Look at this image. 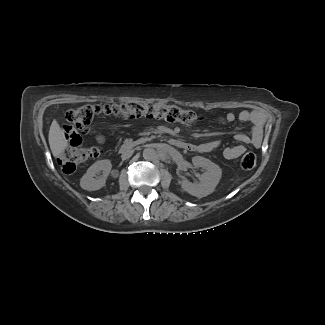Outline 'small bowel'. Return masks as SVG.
<instances>
[{
    "mask_svg": "<svg viewBox=\"0 0 325 325\" xmlns=\"http://www.w3.org/2000/svg\"><path fill=\"white\" fill-rule=\"evenodd\" d=\"M264 119H265V115L263 112H260V111L250 112L248 110H243V111L239 112L238 114H235L232 112H227L223 115H220L216 118V122L221 125H228V124H233L236 121H239L242 123L253 121L255 128L259 129L262 126ZM63 132L68 139L66 142V145L68 148L74 149L82 143V141H83L82 135L79 133H76L72 126H70V125L65 126L63 129ZM237 139L241 143H246L250 140L249 136L244 133L238 134ZM96 140L99 144L104 143V137L102 135H98L96 137ZM219 145H220L219 141L212 140V141H208L206 143L197 145L196 149L198 151L207 152V151H212V150L217 149L219 147ZM244 151H245L244 145L237 144L235 146L228 147V148L224 149L223 155L227 159H236V158L240 157L244 153Z\"/></svg>",
    "mask_w": 325,
    "mask_h": 325,
    "instance_id": "1",
    "label": "small bowel"
}]
</instances>
